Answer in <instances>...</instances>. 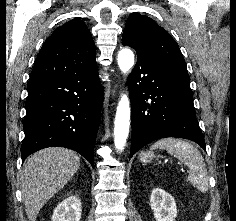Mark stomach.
<instances>
[{
	"label": "stomach",
	"instance_id": "obj_1",
	"mask_svg": "<svg viewBox=\"0 0 236 221\" xmlns=\"http://www.w3.org/2000/svg\"><path fill=\"white\" fill-rule=\"evenodd\" d=\"M154 157L153 152H142L140 154V160L144 163L150 162Z\"/></svg>",
	"mask_w": 236,
	"mask_h": 221
}]
</instances>
